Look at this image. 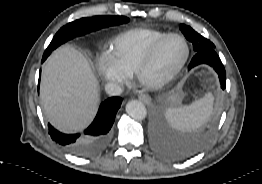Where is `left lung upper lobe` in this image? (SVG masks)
Returning <instances> with one entry per match:
<instances>
[{"instance_id":"obj_1","label":"left lung upper lobe","mask_w":262,"mask_h":184,"mask_svg":"<svg viewBox=\"0 0 262 184\" xmlns=\"http://www.w3.org/2000/svg\"><path fill=\"white\" fill-rule=\"evenodd\" d=\"M180 30L184 34L187 40L192 42L193 49L196 52L206 50V49H214L215 46L212 42H210L208 39L204 38L200 34H198L196 31H194L190 26L181 24Z\"/></svg>"}]
</instances>
